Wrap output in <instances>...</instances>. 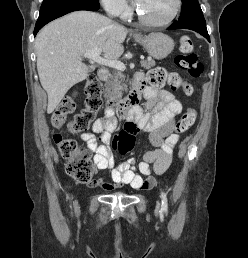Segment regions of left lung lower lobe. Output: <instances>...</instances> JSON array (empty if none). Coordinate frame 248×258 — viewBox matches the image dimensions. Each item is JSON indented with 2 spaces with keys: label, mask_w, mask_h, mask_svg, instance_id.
I'll return each mask as SVG.
<instances>
[{
  "label": "left lung lower lobe",
  "mask_w": 248,
  "mask_h": 258,
  "mask_svg": "<svg viewBox=\"0 0 248 258\" xmlns=\"http://www.w3.org/2000/svg\"><path fill=\"white\" fill-rule=\"evenodd\" d=\"M173 29H190L196 31L200 33L202 36H204L210 42L204 17L192 19L185 23L175 22L170 27H168V30Z\"/></svg>",
  "instance_id": "left-lung-lower-lobe-1"
}]
</instances>
